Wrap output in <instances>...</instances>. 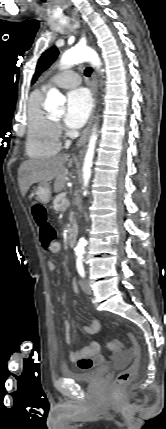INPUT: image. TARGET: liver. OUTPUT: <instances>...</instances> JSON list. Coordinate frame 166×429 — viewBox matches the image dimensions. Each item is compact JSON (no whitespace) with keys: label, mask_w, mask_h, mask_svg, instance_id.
Instances as JSON below:
<instances>
[{"label":"liver","mask_w":166,"mask_h":429,"mask_svg":"<svg viewBox=\"0 0 166 429\" xmlns=\"http://www.w3.org/2000/svg\"><path fill=\"white\" fill-rule=\"evenodd\" d=\"M68 155H60L45 160L30 159L24 161L18 169L20 192L25 197L31 185L35 183L47 184L55 179L54 190L60 192L67 180L65 163Z\"/></svg>","instance_id":"obj_1"}]
</instances>
